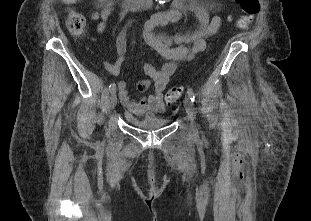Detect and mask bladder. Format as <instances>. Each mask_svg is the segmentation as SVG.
<instances>
[{
  "mask_svg": "<svg viewBox=\"0 0 311 221\" xmlns=\"http://www.w3.org/2000/svg\"><path fill=\"white\" fill-rule=\"evenodd\" d=\"M124 117L130 119V123L143 130H157L166 128L170 124L169 118H164L160 114L145 113L141 117H136L128 111L123 112Z\"/></svg>",
  "mask_w": 311,
  "mask_h": 221,
  "instance_id": "31cf9c89",
  "label": "bladder"
}]
</instances>
